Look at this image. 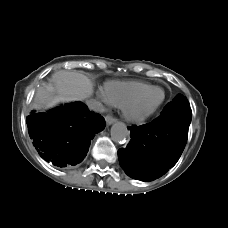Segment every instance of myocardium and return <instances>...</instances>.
I'll list each match as a JSON object with an SVG mask.
<instances>
[{
	"label": "myocardium",
	"mask_w": 228,
	"mask_h": 228,
	"mask_svg": "<svg viewBox=\"0 0 228 228\" xmlns=\"http://www.w3.org/2000/svg\"><path fill=\"white\" fill-rule=\"evenodd\" d=\"M152 90H161L162 91V97L159 100V102L155 106H153L149 109L134 110V106L137 104V102L145 94H147L148 92H150ZM164 100H165L164 89L159 86H150V87L146 88L145 90L139 92L132 98H130L128 101H126L121 107L122 113H123L124 117L131 122H141V121L145 120L146 118H148L149 116H151L153 113H155L160 108V106L162 105Z\"/></svg>",
	"instance_id": "f54148a6"
}]
</instances>
